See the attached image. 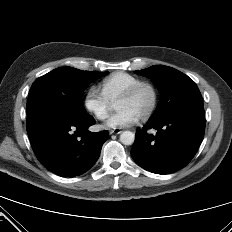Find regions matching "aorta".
I'll use <instances>...</instances> for the list:
<instances>
[{"label": "aorta", "instance_id": "aorta-1", "mask_svg": "<svg viewBox=\"0 0 232 232\" xmlns=\"http://www.w3.org/2000/svg\"><path fill=\"white\" fill-rule=\"evenodd\" d=\"M135 140V135L131 131H124L120 134V141L124 145H132Z\"/></svg>", "mask_w": 232, "mask_h": 232}]
</instances>
